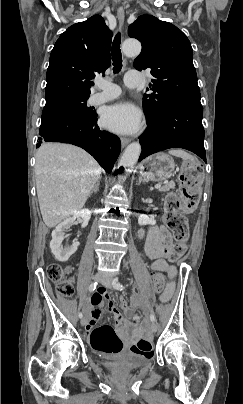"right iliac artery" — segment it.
Returning <instances> with one entry per match:
<instances>
[{
  "label": "right iliac artery",
  "mask_w": 243,
  "mask_h": 404,
  "mask_svg": "<svg viewBox=\"0 0 243 404\" xmlns=\"http://www.w3.org/2000/svg\"><path fill=\"white\" fill-rule=\"evenodd\" d=\"M96 287H97V282L92 283V284L89 286V291H90V292H93V291L96 289ZM82 317H83V314L80 312V313H79V318H82Z\"/></svg>",
  "instance_id": "82829eb1"
}]
</instances>
